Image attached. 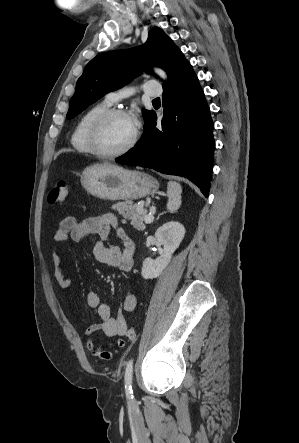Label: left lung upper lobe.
Here are the masks:
<instances>
[{
  "label": "left lung upper lobe",
  "mask_w": 299,
  "mask_h": 443,
  "mask_svg": "<svg viewBox=\"0 0 299 443\" xmlns=\"http://www.w3.org/2000/svg\"><path fill=\"white\" fill-rule=\"evenodd\" d=\"M162 67L173 81L189 66L183 53L160 29L154 28L144 45L130 50L97 55L85 67L77 81L66 118L72 119L106 93L128 84L148 66ZM167 83H163L165 85ZM154 111L143 110L145 121Z\"/></svg>",
  "instance_id": "5c2ea615"
}]
</instances>
